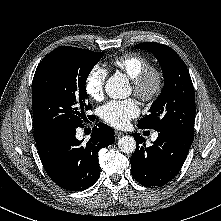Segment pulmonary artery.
Listing matches in <instances>:
<instances>
[{
	"mask_svg": "<svg viewBox=\"0 0 221 221\" xmlns=\"http://www.w3.org/2000/svg\"><path fill=\"white\" fill-rule=\"evenodd\" d=\"M158 137V133H154L153 135H152V139H156Z\"/></svg>",
	"mask_w": 221,
	"mask_h": 221,
	"instance_id": "1",
	"label": "pulmonary artery"
}]
</instances>
